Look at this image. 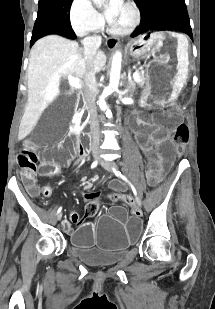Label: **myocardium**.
I'll list each match as a JSON object with an SVG mask.
<instances>
[{
  "label": "myocardium",
  "mask_w": 215,
  "mask_h": 309,
  "mask_svg": "<svg viewBox=\"0 0 215 309\" xmlns=\"http://www.w3.org/2000/svg\"><path fill=\"white\" fill-rule=\"evenodd\" d=\"M126 9L130 12V15L127 16L128 23H119L118 20L107 19L106 23L102 25V28L108 30L110 34H120V36L130 34V31L135 30L136 26L140 24L139 13L132 7H127Z\"/></svg>",
  "instance_id": "obj_1"
}]
</instances>
